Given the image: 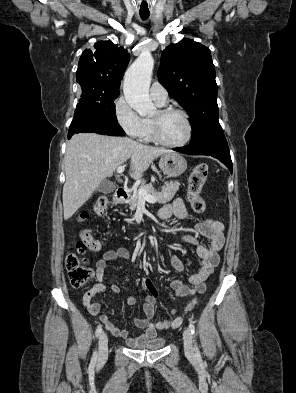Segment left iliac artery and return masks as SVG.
<instances>
[{
    "label": "left iliac artery",
    "instance_id": "left-iliac-artery-1",
    "mask_svg": "<svg viewBox=\"0 0 296 393\" xmlns=\"http://www.w3.org/2000/svg\"><path fill=\"white\" fill-rule=\"evenodd\" d=\"M189 329H190L192 335H195L196 330H195V326H194L193 323H190V324H189ZM194 351H195V353H196L197 355L200 354L199 349H198V346H197L196 344H195Z\"/></svg>",
    "mask_w": 296,
    "mask_h": 393
}]
</instances>
